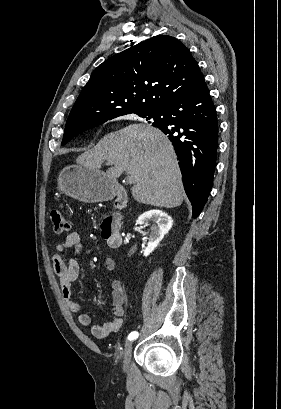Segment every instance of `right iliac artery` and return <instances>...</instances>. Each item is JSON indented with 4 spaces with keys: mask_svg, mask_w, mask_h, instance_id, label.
<instances>
[{
    "mask_svg": "<svg viewBox=\"0 0 281 409\" xmlns=\"http://www.w3.org/2000/svg\"><path fill=\"white\" fill-rule=\"evenodd\" d=\"M137 337H138V332L133 331V332H131V333L129 334L128 339H129V340H134V339H136Z\"/></svg>",
    "mask_w": 281,
    "mask_h": 409,
    "instance_id": "right-iliac-artery-1",
    "label": "right iliac artery"
}]
</instances>
